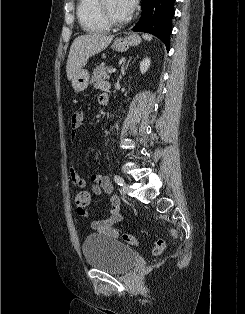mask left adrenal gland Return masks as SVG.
Returning <instances> with one entry per match:
<instances>
[{"instance_id": "1", "label": "left adrenal gland", "mask_w": 245, "mask_h": 314, "mask_svg": "<svg viewBox=\"0 0 245 314\" xmlns=\"http://www.w3.org/2000/svg\"><path fill=\"white\" fill-rule=\"evenodd\" d=\"M132 57H130V59L126 62V59H124L122 61V66H121V74L119 76V78L121 79L124 75H125V71L129 65V62L131 61Z\"/></svg>"}]
</instances>
